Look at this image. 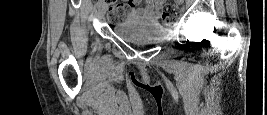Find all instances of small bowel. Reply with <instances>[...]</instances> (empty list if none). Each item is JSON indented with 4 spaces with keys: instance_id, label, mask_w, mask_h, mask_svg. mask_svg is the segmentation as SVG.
Masks as SVG:
<instances>
[{
    "instance_id": "c3829d8e",
    "label": "small bowel",
    "mask_w": 267,
    "mask_h": 115,
    "mask_svg": "<svg viewBox=\"0 0 267 115\" xmlns=\"http://www.w3.org/2000/svg\"><path fill=\"white\" fill-rule=\"evenodd\" d=\"M164 2V0H147L142 6L135 7L138 1H133L134 8L131 11V16L133 18L156 19Z\"/></svg>"
}]
</instances>
